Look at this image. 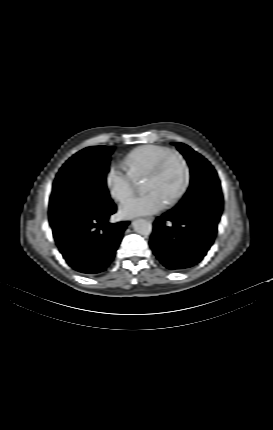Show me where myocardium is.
Instances as JSON below:
<instances>
[{"label": "myocardium", "mask_w": 273, "mask_h": 430, "mask_svg": "<svg viewBox=\"0 0 273 430\" xmlns=\"http://www.w3.org/2000/svg\"><path fill=\"white\" fill-rule=\"evenodd\" d=\"M171 159H177L184 170V178H183V182L181 184V186L179 187V189L176 191V193L167 201V205L171 206L173 204H175L177 201H179L182 196L185 194L186 190L188 189V186L190 184V178H191V172H190V167L189 164L187 162V160L185 159V157L174 150H171L170 152H168L165 156H163L160 161L156 164V166L152 169V171L146 176L147 178H158L160 177L167 164L169 163V161Z\"/></svg>", "instance_id": "myocardium-1"}]
</instances>
